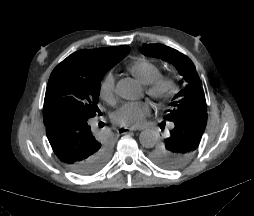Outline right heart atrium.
<instances>
[{"instance_id": "1", "label": "right heart atrium", "mask_w": 254, "mask_h": 216, "mask_svg": "<svg viewBox=\"0 0 254 216\" xmlns=\"http://www.w3.org/2000/svg\"><path fill=\"white\" fill-rule=\"evenodd\" d=\"M101 93L108 98L109 100L112 99L114 94V85L111 78L107 77L101 84L100 87Z\"/></svg>"}]
</instances>
